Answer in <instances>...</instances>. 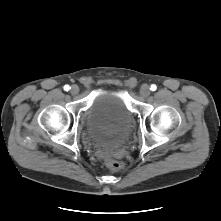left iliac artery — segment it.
Segmentation results:
<instances>
[{
	"mask_svg": "<svg viewBox=\"0 0 221 221\" xmlns=\"http://www.w3.org/2000/svg\"><path fill=\"white\" fill-rule=\"evenodd\" d=\"M157 89L156 85L152 84L150 90L155 91Z\"/></svg>",
	"mask_w": 221,
	"mask_h": 221,
	"instance_id": "44dca946",
	"label": "left iliac artery"
}]
</instances>
